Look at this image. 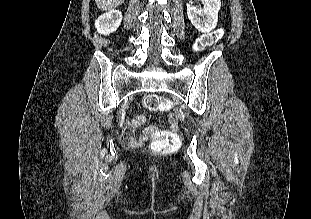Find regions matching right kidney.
<instances>
[{
    "label": "right kidney",
    "mask_w": 311,
    "mask_h": 219,
    "mask_svg": "<svg viewBox=\"0 0 311 219\" xmlns=\"http://www.w3.org/2000/svg\"><path fill=\"white\" fill-rule=\"evenodd\" d=\"M122 13L118 10H112L101 15L95 22L97 31L104 35L116 31L122 21Z\"/></svg>",
    "instance_id": "right-kidney-1"
}]
</instances>
